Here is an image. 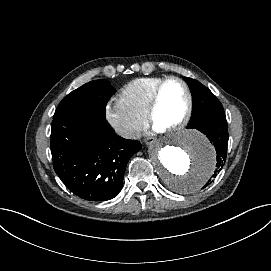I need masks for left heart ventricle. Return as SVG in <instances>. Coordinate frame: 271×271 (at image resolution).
Wrapping results in <instances>:
<instances>
[{"instance_id":"obj_1","label":"left heart ventricle","mask_w":271,"mask_h":271,"mask_svg":"<svg viewBox=\"0 0 271 271\" xmlns=\"http://www.w3.org/2000/svg\"><path fill=\"white\" fill-rule=\"evenodd\" d=\"M188 95L184 86L178 81H170L161 94L160 107L155 115L156 128L167 129L178 121L186 112Z\"/></svg>"}]
</instances>
